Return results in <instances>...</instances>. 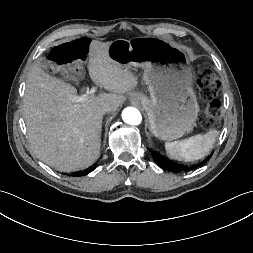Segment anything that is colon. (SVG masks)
Segmentation results:
<instances>
[{
	"instance_id": "5ec220e1",
	"label": "colon",
	"mask_w": 253,
	"mask_h": 253,
	"mask_svg": "<svg viewBox=\"0 0 253 253\" xmlns=\"http://www.w3.org/2000/svg\"><path fill=\"white\" fill-rule=\"evenodd\" d=\"M89 42L86 38H78L65 42L52 49V60L58 65H69L85 59ZM198 87L202 97L208 101L205 117L202 125L205 128L212 127L220 116V102L218 94L220 81L212 73L206 71L198 77Z\"/></svg>"
}]
</instances>
